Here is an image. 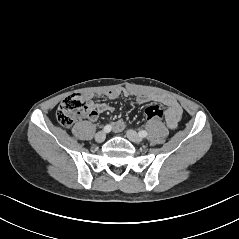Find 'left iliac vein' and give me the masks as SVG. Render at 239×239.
<instances>
[{
  "mask_svg": "<svg viewBox=\"0 0 239 239\" xmlns=\"http://www.w3.org/2000/svg\"><path fill=\"white\" fill-rule=\"evenodd\" d=\"M126 136L133 143H140L142 141V138L134 130H127Z\"/></svg>",
  "mask_w": 239,
  "mask_h": 239,
  "instance_id": "1",
  "label": "left iliac vein"
}]
</instances>
